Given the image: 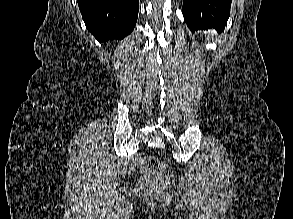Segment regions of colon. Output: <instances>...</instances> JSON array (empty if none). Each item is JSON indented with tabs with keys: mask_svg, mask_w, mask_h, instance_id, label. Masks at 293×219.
<instances>
[{
	"mask_svg": "<svg viewBox=\"0 0 293 219\" xmlns=\"http://www.w3.org/2000/svg\"><path fill=\"white\" fill-rule=\"evenodd\" d=\"M141 167L143 170L148 172H164L167 169L165 162L159 161L154 156H144L141 159ZM148 191V185L146 182L139 180L135 185V192L138 195H144Z\"/></svg>",
	"mask_w": 293,
	"mask_h": 219,
	"instance_id": "obj_1",
	"label": "colon"
}]
</instances>
